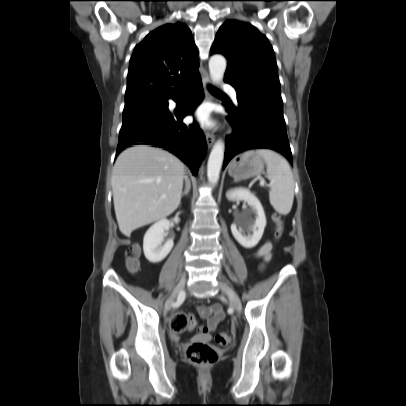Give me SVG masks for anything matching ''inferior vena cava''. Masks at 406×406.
I'll use <instances>...</instances> for the list:
<instances>
[{
    "mask_svg": "<svg viewBox=\"0 0 406 406\" xmlns=\"http://www.w3.org/2000/svg\"><path fill=\"white\" fill-rule=\"evenodd\" d=\"M185 180H186V186H187V180H188L187 177H185Z\"/></svg>",
    "mask_w": 406,
    "mask_h": 406,
    "instance_id": "602c4592",
    "label": "inferior vena cava"
}]
</instances>
